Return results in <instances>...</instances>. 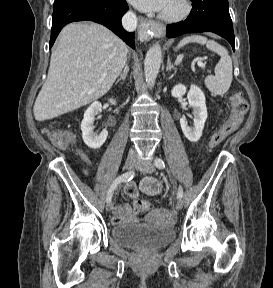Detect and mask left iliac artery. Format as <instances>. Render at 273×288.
Segmentation results:
<instances>
[{
	"label": "left iliac artery",
	"instance_id": "1",
	"mask_svg": "<svg viewBox=\"0 0 273 288\" xmlns=\"http://www.w3.org/2000/svg\"><path fill=\"white\" fill-rule=\"evenodd\" d=\"M154 164L155 166L158 168V169H164L165 168V163L162 159L160 158H156L155 161H154ZM183 196V189L181 186H179L178 188V192H177V198L178 199H181Z\"/></svg>",
	"mask_w": 273,
	"mask_h": 288
}]
</instances>
